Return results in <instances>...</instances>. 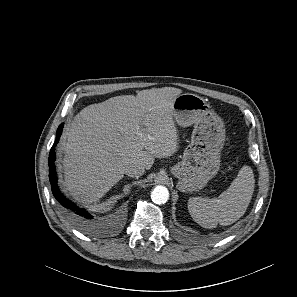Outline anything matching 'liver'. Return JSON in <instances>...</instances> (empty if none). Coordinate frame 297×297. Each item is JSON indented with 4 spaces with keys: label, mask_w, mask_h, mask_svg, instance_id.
Returning <instances> with one entry per match:
<instances>
[{
    "label": "liver",
    "mask_w": 297,
    "mask_h": 297,
    "mask_svg": "<svg viewBox=\"0 0 297 297\" xmlns=\"http://www.w3.org/2000/svg\"><path fill=\"white\" fill-rule=\"evenodd\" d=\"M174 87L122 95L82 109L62 139L64 187L76 200L97 202L129 164L150 169L155 158L172 156L178 147Z\"/></svg>",
    "instance_id": "1"
}]
</instances>
